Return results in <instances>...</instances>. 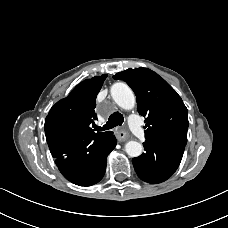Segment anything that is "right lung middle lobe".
<instances>
[{
    "label": "right lung middle lobe",
    "mask_w": 228,
    "mask_h": 228,
    "mask_svg": "<svg viewBox=\"0 0 228 228\" xmlns=\"http://www.w3.org/2000/svg\"><path fill=\"white\" fill-rule=\"evenodd\" d=\"M69 139V134H63L62 136L60 137H56L54 138V140H52V144L53 145H57V144H60V143H63L65 141H67Z\"/></svg>",
    "instance_id": "1"
}]
</instances>
